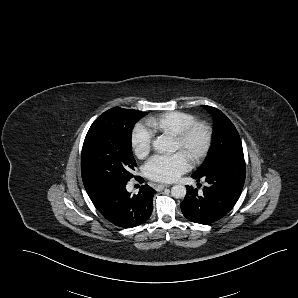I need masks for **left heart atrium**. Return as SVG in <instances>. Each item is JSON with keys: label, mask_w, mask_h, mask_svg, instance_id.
Instances as JSON below:
<instances>
[{"label": "left heart atrium", "mask_w": 298, "mask_h": 298, "mask_svg": "<svg viewBox=\"0 0 298 298\" xmlns=\"http://www.w3.org/2000/svg\"><path fill=\"white\" fill-rule=\"evenodd\" d=\"M186 169L184 158L177 152L156 154L144 165L143 172L151 180L169 182L179 177Z\"/></svg>", "instance_id": "obj_1"}]
</instances>
